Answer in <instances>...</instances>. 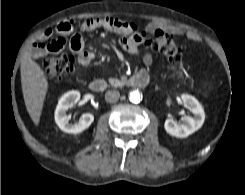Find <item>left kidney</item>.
<instances>
[{"label": "left kidney", "mask_w": 245, "mask_h": 195, "mask_svg": "<svg viewBox=\"0 0 245 195\" xmlns=\"http://www.w3.org/2000/svg\"><path fill=\"white\" fill-rule=\"evenodd\" d=\"M184 106L188 108L194 117L184 116L182 117V123L177 124L173 119H167L164 123L166 132L177 138H185L197 131L204 123L205 112L202 105L198 100L187 94L181 96Z\"/></svg>", "instance_id": "left-kidney-1"}]
</instances>
